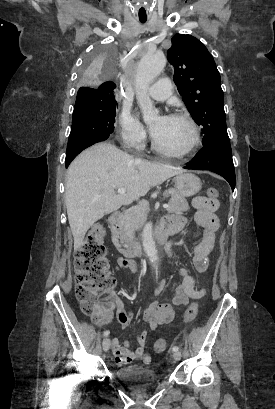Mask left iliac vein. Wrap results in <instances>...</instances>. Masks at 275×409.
Instances as JSON below:
<instances>
[{"label": "left iliac vein", "mask_w": 275, "mask_h": 409, "mask_svg": "<svg viewBox=\"0 0 275 409\" xmlns=\"http://www.w3.org/2000/svg\"><path fill=\"white\" fill-rule=\"evenodd\" d=\"M173 358H174L176 361L180 360V359H181V353H180V351H174V352H173Z\"/></svg>", "instance_id": "obj_1"}]
</instances>
